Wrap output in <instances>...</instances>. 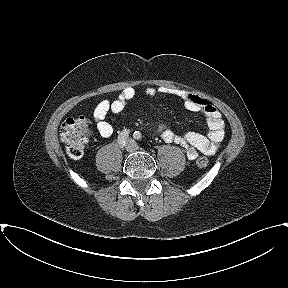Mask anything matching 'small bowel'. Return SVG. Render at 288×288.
Here are the masks:
<instances>
[{
    "label": "small bowel",
    "instance_id": "obj_1",
    "mask_svg": "<svg viewBox=\"0 0 288 288\" xmlns=\"http://www.w3.org/2000/svg\"><path fill=\"white\" fill-rule=\"evenodd\" d=\"M145 93L149 97H155L158 94L175 95L183 101L186 109L200 112L206 117L209 131L205 135L195 132L177 134L167 129L164 124H160L156 132L165 142L181 145L191 160L195 159L199 152L213 155L218 151L225 136V125L221 113L210 101L188 91L166 87L148 88ZM134 97L135 90L127 87L114 100H102L97 104L93 115L96 120L97 131L102 138H108L113 133L112 126L105 120L107 115L122 112Z\"/></svg>",
    "mask_w": 288,
    "mask_h": 288
}]
</instances>
